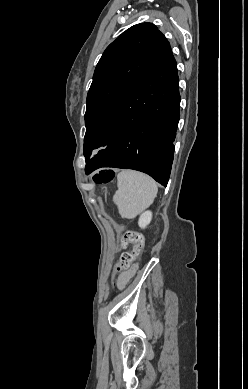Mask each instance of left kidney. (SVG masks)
I'll return each instance as SVG.
<instances>
[{"mask_svg":"<svg viewBox=\"0 0 248 389\" xmlns=\"http://www.w3.org/2000/svg\"><path fill=\"white\" fill-rule=\"evenodd\" d=\"M151 220H152V212L146 211L140 216L138 225L140 228L144 229L150 224Z\"/></svg>","mask_w":248,"mask_h":389,"instance_id":"obj_1","label":"left kidney"}]
</instances>
